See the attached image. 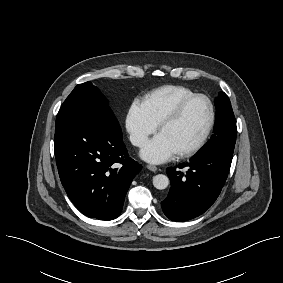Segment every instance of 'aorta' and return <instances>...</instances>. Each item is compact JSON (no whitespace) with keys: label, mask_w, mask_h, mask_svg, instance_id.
Here are the masks:
<instances>
[{"label":"aorta","mask_w":283,"mask_h":283,"mask_svg":"<svg viewBox=\"0 0 283 283\" xmlns=\"http://www.w3.org/2000/svg\"><path fill=\"white\" fill-rule=\"evenodd\" d=\"M153 185L156 189L163 190L169 185V178L166 175L158 174L153 177Z\"/></svg>","instance_id":"762f6f07"}]
</instances>
